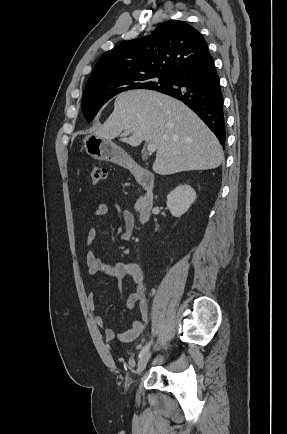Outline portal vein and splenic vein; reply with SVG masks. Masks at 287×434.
<instances>
[{"label": "portal vein and splenic vein", "mask_w": 287, "mask_h": 434, "mask_svg": "<svg viewBox=\"0 0 287 434\" xmlns=\"http://www.w3.org/2000/svg\"><path fill=\"white\" fill-rule=\"evenodd\" d=\"M124 135H129V132H125ZM157 147L153 143H148L147 145V151L148 153H154L156 151Z\"/></svg>", "instance_id": "18ae733b"}]
</instances>
